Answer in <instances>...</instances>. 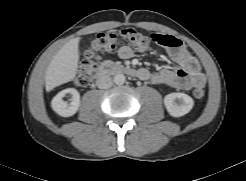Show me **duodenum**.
<instances>
[{
  "label": "duodenum",
  "mask_w": 246,
  "mask_h": 181,
  "mask_svg": "<svg viewBox=\"0 0 246 181\" xmlns=\"http://www.w3.org/2000/svg\"><path fill=\"white\" fill-rule=\"evenodd\" d=\"M109 74H125L132 77H139L140 71L128 66L106 62L97 70L95 79L101 80Z\"/></svg>",
  "instance_id": "obj_1"
}]
</instances>
